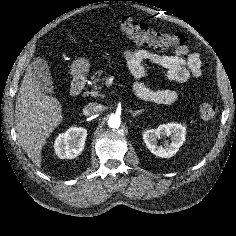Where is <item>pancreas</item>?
Here are the masks:
<instances>
[{
	"label": "pancreas",
	"instance_id": "cf45deb5",
	"mask_svg": "<svg viewBox=\"0 0 236 236\" xmlns=\"http://www.w3.org/2000/svg\"><path fill=\"white\" fill-rule=\"evenodd\" d=\"M103 71L99 70L97 71L92 77V89L90 91L87 92V94H90L93 97H104V95L102 93H100L101 89H102V85L104 80H105V76H102ZM101 83V84H100Z\"/></svg>",
	"mask_w": 236,
	"mask_h": 236
}]
</instances>
